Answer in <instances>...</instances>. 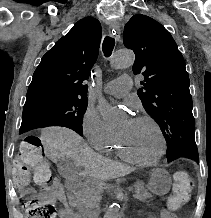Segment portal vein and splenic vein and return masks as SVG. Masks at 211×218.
<instances>
[{"mask_svg":"<svg viewBox=\"0 0 211 218\" xmlns=\"http://www.w3.org/2000/svg\"><path fill=\"white\" fill-rule=\"evenodd\" d=\"M127 188H128L129 191H132L133 187L132 186H128Z\"/></svg>","mask_w":211,"mask_h":218,"instance_id":"obj_1","label":"portal vein and splenic vein"}]
</instances>
